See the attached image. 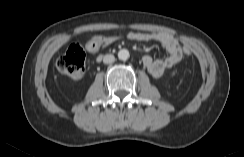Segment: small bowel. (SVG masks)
I'll list each match as a JSON object with an SVG mask.
<instances>
[{
    "instance_id": "c3829d8e",
    "label": "small bowel",
    "mask_w": 244,
    "mask_h": 157,
    "mask_svg": "<svg viewBox=\"0 0 244 157\" xmlns=\"http://www.w3.org/2000/svg\"><path fill=\"white\" fill-rule=\"evenodd\" d=\"M127 37L132 41H156L160 43L168 52L167 56L161 60L154 59L150 55H145L143 57L145 67L154 78L162 77L167 70L176 65L183 57V51L179 41L169 33L130 32L128 33ZM96 52L97 51H92V53Z\"/></svg>"
}]
</instances>
